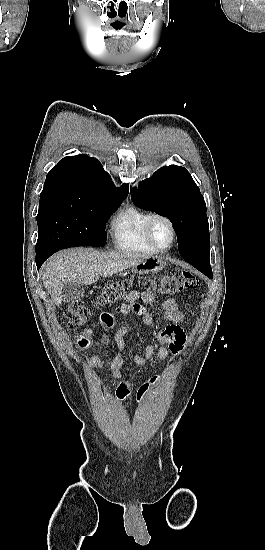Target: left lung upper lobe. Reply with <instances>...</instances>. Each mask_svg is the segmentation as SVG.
<instances>
[{
    "instance_id": "left-lung-upper-lobe-1",
    "label": "left lung upper lobe",
    "mask_w": 265,
    "mask_h": 550,
    "mask_svg": "<svg viewBox=\"0 0 265 550\" xmlns=\"http://www.w3.org/2000/svg\"><path fill=\"white\" fill-rule=\"evenodd\" d=\"M139 207L165 216L172 222L179 253L188 260L210 257V234L206 204L190 173L183 167H163L131 189Z\"/></svg>"
}]
</instances>
